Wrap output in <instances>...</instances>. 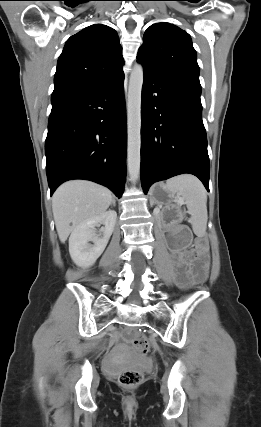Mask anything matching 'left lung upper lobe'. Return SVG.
<instances>
[{
    "label": "left lung upper lobe",
    "instance_id": "obj_1",
    "mask_svg": "<svg viewBox=\"0 0 261 427\" xmlns=\"http://www.w3.org/2000/svg\"><path fill=\"white\" fill-rule=\"evenodd\" d=\"M137 60L144 68L199 82L196 51L188 33L170 23H156L144 33Z\"/></svg>",
    "mask_w": 261,
    "mask_h": 427
}]
</instances>
